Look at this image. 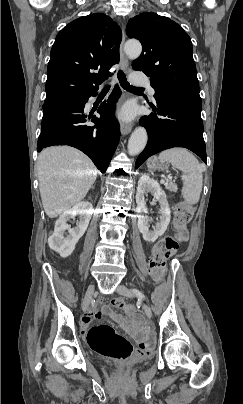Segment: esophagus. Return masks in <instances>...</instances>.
Returning <instances> with one entry per match:
<instances>
[{
	"label": "esophagus",
	"instance_id": "obj_1",
	"mask_svg": "<svg viewBox=\"0 0 243 404\" xmlns=\"http://www.w3.org/2000/svg\"><path fill=\"white\" fill-rule=\"evenodd\" d=\"M124 42H125V32H124V28L122 27V41H121V45H120V65L123 69H127L129 66V62L128 59L126 58L125 54H124ZM132 130V126L131 125H127L122 123L121 124V133L122 135H127L131 132Z\"/></svg>",
	"mask_w": 243,
	"mask_h": 404
}]
</instances>
